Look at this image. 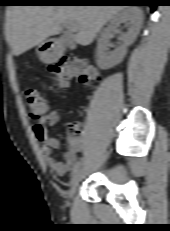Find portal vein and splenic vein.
I'll list each match as a JSON object with an SVG mask.
<instances>
[{"label": "portal vein and splenic vein", "mask_w": 170, "mask_h": 231, "mask_svg": "<svg viewBox=\"0 0 170 231\" xmlns=\"http://www.w3.org/2000/svg\"><path fill=\"white\" fill-rule=\"evenodd\" d=\"M66 28L69 29L70 31H75L74 28H72V27L69 26V25H66Z\"/></svg>", "instance_id": "obj_1"}]
</instances>
